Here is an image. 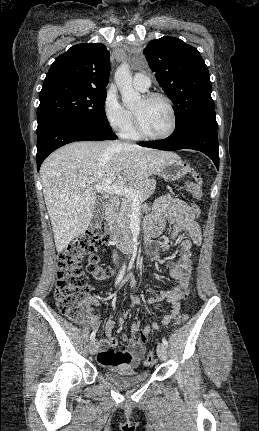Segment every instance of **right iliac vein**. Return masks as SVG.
<instances>
[{
	"label": "right iliac vein",
	"instance_id": "obj_1",
	"mask_svg": "<svg viewBox=\"0 0 259 431\" xmlns=\"http://www.w3.org/2000/svg\"><path fill=\"white\" fill-rule=\"evenodd\" d=\"M98 349V345H97V341L96 340H92V342L90 343L89 346V351L91 355H95Z\"/></svg>",
	"mask_w": 259,
	"mask_h": 431
}]
</instances>
